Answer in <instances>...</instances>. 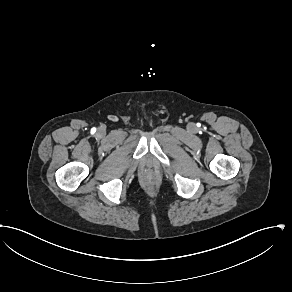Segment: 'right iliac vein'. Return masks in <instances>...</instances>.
Masks as SVG:
<instances>
[{"mask_svg": "<svg viewBox=\"0 0 292 292\" xmlns=\"http://www.w3.org/2000/svg\"><path fill=\"white\" fill-rule=\"evenodd\" d=\"M98 132H99L100 135H103L105 131H104V129L101 128V129H99Z\"/></svg>", "mask_w": 292, "mask_h": 292, "instance_id": "obj_1", "label": "right iliac vein"}]
</instances>
